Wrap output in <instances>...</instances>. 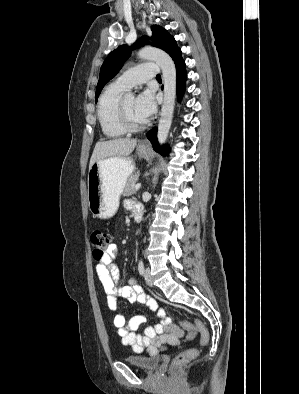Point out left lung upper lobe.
I'll return each mask as SVG.
<instances>
[{
  "label": "left lung upper lobe",
  "instance_id": "left-lung-upper-lobe-1",
  "mask_svg": "<svg viewBox=\"0 0 299 394\" xmlns=\"http://www.w3.org/2000/svg\"><path fill=\"white\" fill-rule=\"evenodd\" d=\"M151 30V38L143 36L132 47L121 45L107 56L100 69L99 81L96 87V99L105 84L119 72L124 62L129 58L133 48H138L148 44V40L151 39L152 42L150 44L164 50L171 57L178 52L179 48L175 39L164 28L153 25Z\"/></svg>",
  "mask_w": 299,
  "mask_h": 394
}]
</instances>
